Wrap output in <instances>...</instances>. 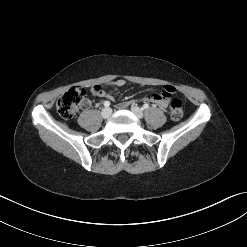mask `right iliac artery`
<instances>
[{"instance_id":"right-iliac-artery-1","label":"right iliac artery","mask_w":247,"mask_h":247,"mask_svg":"<svg viewBox=\"0 0 247 247\" xmlns=\"http://www.w3.org/2000/svg\"><path fill=\"white\" fill-rule=\"evenodd\" d=\"M104 106H105V107H109V106H110V102H109V101H105V102H104Z\"/></svg>"}]
</instances>
